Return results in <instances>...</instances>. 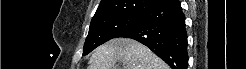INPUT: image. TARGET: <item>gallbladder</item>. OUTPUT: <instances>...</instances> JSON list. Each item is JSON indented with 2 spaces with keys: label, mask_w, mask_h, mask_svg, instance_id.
Returning <instances> with one entry per match:
<instances>
[{
  "label": "gallbladder",
  "mask_w": 246,
  "mask_h": 69,
  "mask_svg": "<svg viewBox=\"0 0 246 69\" xmlns=\"http://www.w3.org/2000/svg\"><path fill=\"white\" fill-rule=\"evenodd\" d=\"M115 69H121L120 65H116Z\"/></svg>",
  "instance_id": "bac80fb5"
}]
</instances>
